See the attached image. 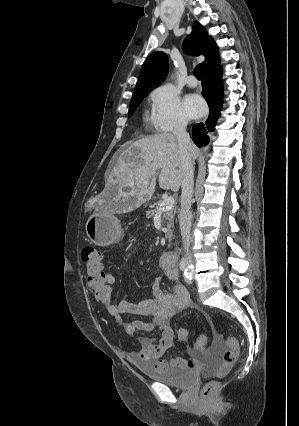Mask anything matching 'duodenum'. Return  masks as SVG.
I'll return each instance as SVG.
<instances>
[{
	"instance_id": "obj_1",
	"label": "duodenum",
	"mask_w": 299,
	"mask_h": 426,
	"mask_svg": "<svg viewBox=\"0 0 299 426\" xmlns=\"http://www.w3.org/2000/svg\"><path fill=\"white\" fill-rule=\"evenodd\" d=\"M177 258H178L177 252L174 250H169L163 253L161 257V263L163 265H173V264H176Z\"/></svg>"
}]
</instances>
